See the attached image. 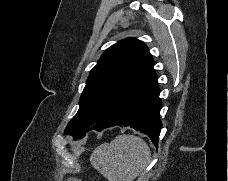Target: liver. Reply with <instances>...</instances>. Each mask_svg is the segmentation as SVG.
Instances as JSON below:
<instances>
[{
  "mask_svg": "<svg viewBox=\"0 0 228 181\" xmlns=\"http://www.w3.org/2000/svg\"><path fill=\"white\" fill-rule=\"evenodd\" d=\"M79 149H81V151H83V147H81V145H78Z\"/></svg>",
  "mask_w": 228,
  "mask_h": 181,
  "instance_id": "obj_1",
  "label": "liver"
}]
</instances>
